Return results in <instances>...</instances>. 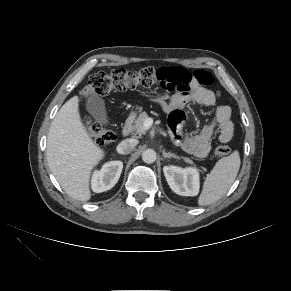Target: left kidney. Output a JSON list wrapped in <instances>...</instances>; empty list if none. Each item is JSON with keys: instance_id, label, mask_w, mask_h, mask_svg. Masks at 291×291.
<instances>
[{"instance_id": "obj_1", "label": "left kidney", "mask_w": 291, "mask_h": 291, "mask_svg": "<svg viewBox=\"0 0 291 291\" xmlns=\"http://www.w3.org/2000/svg\"><path fill=\"white\" fill-rule=\"evenodd\" d=\"M163 172L168 185L176 194L196 196L199 193V172L196 168L170 165L163 167Z\"/></svg>"}]
</instances>
